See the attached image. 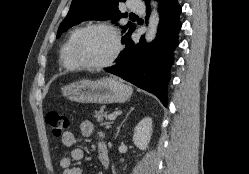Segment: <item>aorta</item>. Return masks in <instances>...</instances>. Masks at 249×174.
Here are the masks:
<instances>
[{
  "instance_id": "aorta-1",
  "label": "aorta",
  "mask_w": 249,
  "mask_h": 174,
  "mask_svg": "<svg viewBox=\"0 0 249 174\" xmlns=\"http://www.w3.org/2000/svg\"><path fill=\"white\" fill-rule=\"evenodd\" d=\"M151 7H152V11L149 17L148 30L145 35L146 42H151L156 37L159 20H160L159 14L157 11V8H158L157 2L154 0H151Z\"/></svg>"
}]
</instances>
